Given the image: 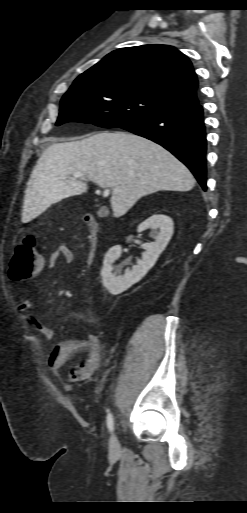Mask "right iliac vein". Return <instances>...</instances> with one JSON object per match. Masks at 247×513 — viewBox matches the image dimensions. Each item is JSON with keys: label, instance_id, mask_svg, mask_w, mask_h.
I'll return each instance as SVG.
<instances>
[{"label": "right iliac vein", "instance_id": "right-iliac-vein-1", "mask_svg": "<svg viewBox=\"0 0 247 513\" xmlns=\"http://www.w3.org/2000/svg\"><path fill=\"white\" fill-rule=\"evenodd\" d=\"M120 451V444L115 434H112L109 439V452L112 456L118 455Z\"/></svg>", "mask_w": 247, "mask_h": 513}]
</instances>
